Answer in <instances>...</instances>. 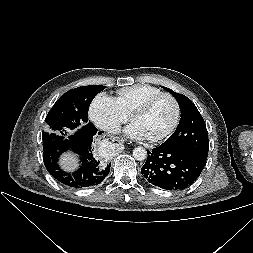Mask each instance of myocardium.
Segmentation results:
<instances>
[{
	"label": "myocardium",
	"mask_w": 253,
	"mask_h": 253,
	"mask_svg": "<svg viewBox=\"0 0 253 253\" xmlns=\"http://www.w3.org/2000/svg\"><path fill=\"white\" fill-rule=\"evenodd\" d=\"M163 97H168L173 102V105H174V108H175V117H174V120H173L171 126L162 135H160L158 137H154V138H148L151 142H154V143H159V142H162V141L166 140L177 129V127H178V125L180 123V119H181V108H180V104H179L177 98L173 94H171L169 92L158 93V94H156V95L148 98L147 100H145L130 115L131 116L130 117L131 121L133 122L135 120V118H137L138 116H141V115L145 114L147 111L150 110V108L159 99H161Z\"/></svg>",
	"instance_id": "myocardium-1"
}]
</instances>
